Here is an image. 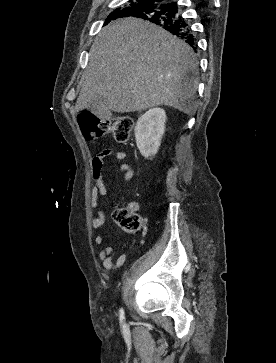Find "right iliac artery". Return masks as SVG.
Returning a JSON list of instances; mask_svg holds the SVG:
<instances>
[{
  "instance_id": "right-iliac-artery-1",
  "label": "right iliac artery",
  "mask_w": 276,
  "mask_h": 363,
  "mask_svg": "<svg viewBox=\"0 0 276 363\" xmlns=\"http://www.w3.org/2000/svg\"><path fill=\"white\" fill-rule=\"evenodd\" d=\"M119 317H120L121 322L125 319L123 308H120V310H119Z\"/></svg>"
}]
</instances>
